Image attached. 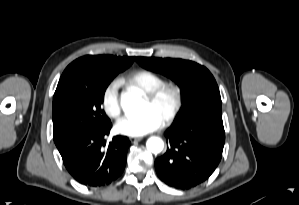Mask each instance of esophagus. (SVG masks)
<instances>
[{"label":"esophagus","mask_w":299,"mask_h":205,"mask_svg":"<svg viewBox=\"0 0 299 205\" xmlns=\"http://www.w3.org/2000/svg\"><path fill=\"white\" fill-rule=\"evenodd\" d=\"M129 140H130L131 142H137V141L142 140V137H130Z\"/></svg>","instance_id":"esophagus-1"}]
</instances>
